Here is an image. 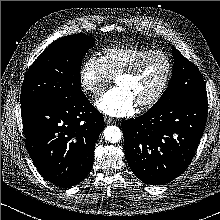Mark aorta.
Listing matches in <instances>:
<instances>
[{"instance_id":"1","label":"aorta","mask_w":220,"mask_h":220,"mask_svg":"<svg viewBox=\"0 0 220 220\" xmlns=\"http://www.w3.org/2000/svg\"><path fill=\"white\" fill-rule=\"evenodd\" d=\"M121 130L116 126H108L104 129V137L110 143H117L121 140Z\"/></svg>"}]
</instances>
